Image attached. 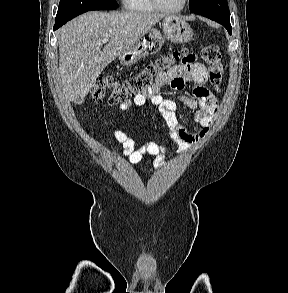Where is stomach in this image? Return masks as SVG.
I'll return each instance as SVG.
<instances>
[{
    "instance_id": "0dacf381",
    "label": "stomach",
    "mask_w": 288,
    "mask_h": 293,
    "mask_svg": "<svg viewBox=\"0 0 288 293\" xmlns=\"http://www.w3.org/2000/svg\"><path fill=\"white\" fill-rule=\"evenodd\" d=\"M164 36L158 29L151 28L141 35L133 46L119 56L120 63L130 66L139 59L158 52L167 38L173 43H186L193 38V30L182 18L166 16L162 21Z\"/></svg>"
}]
</instances>
